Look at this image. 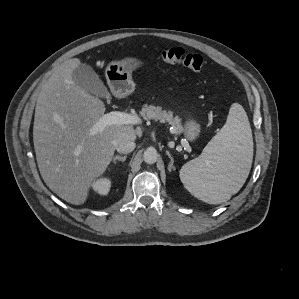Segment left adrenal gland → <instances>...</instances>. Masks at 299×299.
I'll list each match as a JSON object with an SVG mask.
<instances>
[{"instance_id":"a2214340","label":"left adrenal gland","mask_w":299,"mask_h":299,"mask_svg":"<svg viewBox=\"0 0 299 299\" xmlns=\"http://www.w3.org/2000/svg\"><path fill=\"white\" fill-rule=\"evenodd\" d=\"M166 154L170 158V163L168 165V170H169V172H171V170H175V167L173 165L174 164V160H173V157L171 156V154L168 151H166Z\"/></svg>"}]
</instances>
